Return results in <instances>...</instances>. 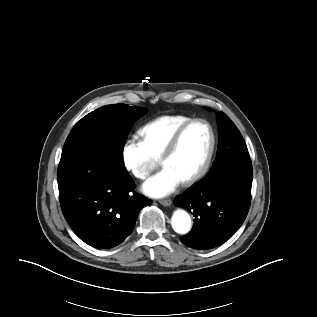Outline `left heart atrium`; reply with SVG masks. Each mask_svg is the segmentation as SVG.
<instances>
[{
    "label": "left heart atrium",
    "mask_w": 317,
    "mask_h": 317,
    "mask_svg": "<svg viewBox=\"0 0 317 317\" xmlns=\"http://www.w3.org/2000/svg\"><path fill=\"white\" fill-rule=\"evenodd\" d=\"M181 182L170 168L164 167L143 185V191L152 197H163L172 193Z\"/></svg>",
    "instance_id": "obj_1"
}]
</instances>
